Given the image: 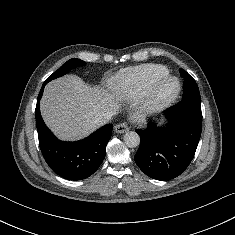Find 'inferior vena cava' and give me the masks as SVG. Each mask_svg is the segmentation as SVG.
Masks as SVG:
<instances>
[{"instance_id":"602c4592","label":"inferior vena cava","mask_w":235,"mask_h":235,"mask_svg":"<svg viewBox=\"0 0 235 235\" xmlns=\"http://www.w3.org/2000/svg\"><path fill=\"white\" fill-rule=\"evenodd\" d=\"M112 116H113V113L111 111H107L103 113L99 118H97L95 122L99 126L104 125L111 119Z\"/></svg>"}]
</instances>
